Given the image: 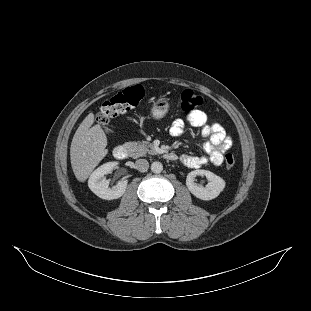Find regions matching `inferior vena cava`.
<instances>
[{
  "instance_id": "inferior-vena-cava-1",
  "label": "inferior vena cava",
  "mask_w": 311,
  "mask_h": 311,
  "mask_svg": "<svg viewBox=\"0 0 311 311\" xmlns=\"http://www.w3.org/2000/svg\"><path fill=\"white\" fill-rule=\"evenodd\" d=\"M136 168L139 172H146L149 168V163L145 159H139L136 161Z\"/></svg>"
}]
</instances>
